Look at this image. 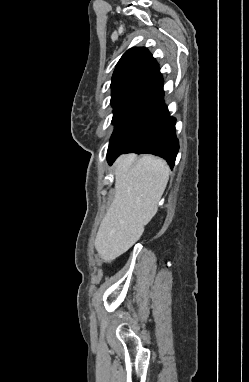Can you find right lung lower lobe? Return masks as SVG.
<instances>
[{"label":"right lung lower lobe","instance_id":"98d812e1","mask_svg":"<svg viewBox=\"0 0 249 382\" xmlns=\"http://www.w3.org/2000/svg\"><path fill=\"white\" fill-rule=\"evenodd\" d=\"M175 122L161 98L126 132L110 142L107 152L109 164L122 153H137L160 156L173 168L179 150Z\"/></svg>","mask_w":249,"mask_h":382}]
</instances>
